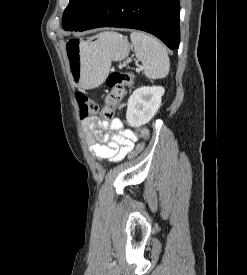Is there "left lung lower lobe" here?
I'll return each instance as SVG.
<instances>
[{
    "mask_svg": "<svg viewBox=\"0 0 247 275\" xmlns=\"http://www.w3.org/2000/svg\"><path fill=\"white\" fill-rule=\"evenodd\" d=\"M179 9V0H103L86 22L72 31L138 29L155 35L173 50L180 43Z\"/></svg>",
    "mask_w": 247,
    "mask_h": 275,
    "instance_id": "1",
    "label": "left lung lower lobe"
}]
</instances>
